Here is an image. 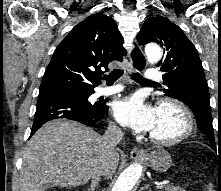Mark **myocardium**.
Returning <instances> with one entry per match:
<instances>
[{"instance_id": "myocardium-1", "label": "myocardium", "mask_w": 221, "mask_h": 191, "mask_svg": "<svg viewBox=\"0 0 221 191\" xmlns=\"http://www.w3.org/2000/svg\"><path fill=\"white\" fill-rule=\"evenodd\" d=\"M164 107H171L177 110L183 119V126L180 132L171 137H160L154 134H150V140L158 145H175L178 144L185 139H187L194 130V117L190 109L181 101L175 98H162L159 100L157 108L158 110Z\"/></svg>"}]
</instances>
